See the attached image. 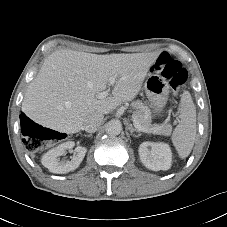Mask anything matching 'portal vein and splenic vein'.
<instances>
[{
    "label": "portal vein and splenic vein",
    "instance_id": "obj_1",
    "mask_svg": "<svg viewBox=\"0 0 227 227\" xmlns=\"http://www.w3.org/2000/svg\"><path fill=\"white\" fill-rule=\"evenodd\" d=\"M115 82H116V77L115 76L110 77L109 83H108V88L106 90L100 92L97 95V97L99 99H103V98L107 97L109 95V92H110V87L114 86ZM132 121H133V125L141 132L150 133L152 131L158 130V127H153V128H150V129L143 127L134 115L132 116Z\"/></svg>",
    "mask_w": 227,
    "mask_h": 227
}]
</instances>
